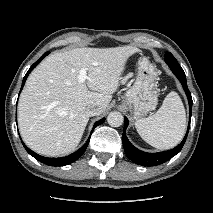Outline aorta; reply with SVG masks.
<instances>
[{"label": "aorta", "mask_w": 213, "mask_h": 213, "mask_svg": "<svg viewBox=\"0 0 213 213\" xmlns=\"http://www.w3.org/2000/svg\"><path fill=\"white\" fill-rule=\"evenodd\" d=\"M107 122L112 127H119L124 122V117L120 112H111L107 117Z\"/></svg>", "instance_id": "aorta-1"}]
</instances>
